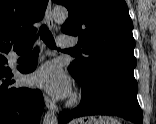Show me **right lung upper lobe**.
<instances>
[{
	"label": "right lung upper lobe",
	"mask_w": 156,
	"mask_h": 124,
	"mask_svg": "<svg viewBox=\"0 0 156 124\" xmlns=\"http://www.w3.org/2000/svg\"><path fill=\"white\" fill-rule=\"evenodd\" d=\"M48 0H0V49L24 48L42 20Z\"/></svg>",
	"instance_id": "right-lung-upper-lobe-1"
}]
</instances>
